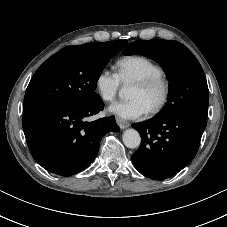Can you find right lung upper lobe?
I'll use <instances>...</instances> for the list:
<instances>
[{
  "label": "right lung upper lobe",
  "mask_w": 227,
  "mask_h": 227,
  "mask_svg": "<svg viewBox=\"0 0 227 227\" xmlns=\"http://www.w3.org/2000/svg\"><path fill=\"white\" fill-rule=\"evenodd\" d=\"M124 41V44H123V47L127 44V41L126 40H123ZM91 44V43H90Z\"/></svg>",
  "instance_id": "cb5924a9"
}]
</instances>
